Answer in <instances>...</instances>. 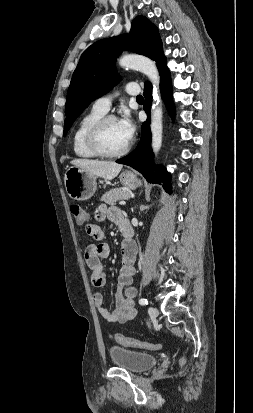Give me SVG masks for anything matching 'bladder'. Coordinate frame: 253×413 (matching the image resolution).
<instances>
[{
  "mask_svg": "<svg viewBox=\"0 0 253 413\" xmlns=\"http://www.w3.org/2000/svg\"><path fill=\"white\" fill-rule=\"evenodd\" d=\"M112 363L130 372H144L156 365L158 358L148 352L127 349L119 346L109 348Z\"/></svg>",
  "mask_w": 253,
  "mask_h": 413,
  "instance_id": "1",
  "label": "bladder"
}]
</instances>
